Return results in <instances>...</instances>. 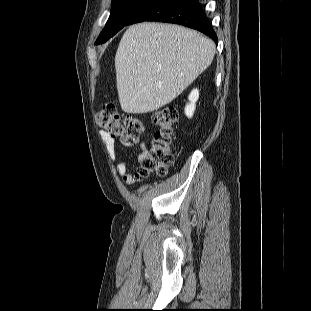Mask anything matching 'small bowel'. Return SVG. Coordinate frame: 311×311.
Instances as JSON below:
<instances>
[{
  "label": "small bowel",
  "mask_w": 311,
  "mask_h": 311,
  "mask_svg": "<svg viewBox=\"0 0 311 311\" xmlns=\"http://www.w3.org/2000/svg\"><path fill=\"white\" fill-rule=\"evenodd\" d=\"M100 137L102 141L105 144L106 152L109 156V158L112 161L117 160V147H116V139L111 136L109 133L105 131H100ZM119 143L123 146L132 147L137 146L140 150V153L138 155V162L140 163L145 154L147 153L146 144L144 142L140 143H132L128 141L127 139L120 138ZM117 173L122 178L125 184L130 185L132 184L137 178H138V169H130L128 164L125 161H119L116 165Z\"/></svg>",
  "instance_id": "small-bowel-1"
}]
</instances>
